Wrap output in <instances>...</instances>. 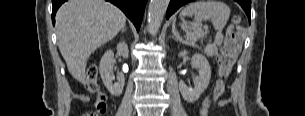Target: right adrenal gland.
Returning <instances> with one entry per match:
<instances>
[{
	"label": "right adrenal gland",
	"mask_w": 305,
	"mask_h": 116,
	"mask_svg": "<svg viewBox=\"0 0 305 116\" xmlns=\"http://www.w3.org/2000/svg\"><path fill=\"white\" fill-rule=\"evenodd\" d=\"M126 27H124L122 30H121V33H124L126 31Z\"/></svg>",
	"instance_id": "2a0ac1e0"
}]
</instances>
